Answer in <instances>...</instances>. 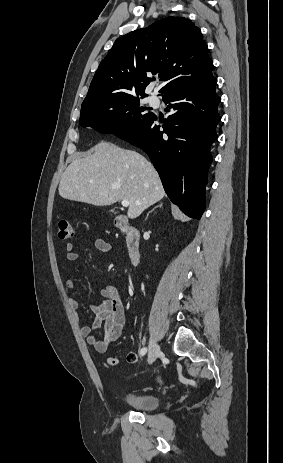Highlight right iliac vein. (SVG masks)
I'll return each mask as SVG.
<instances>
[{
	"label": "right iliac vein",
	"mask_w": 283,
	"mask_h": 463,
	"mask_svg": "<svg viewBox=\"0 0 283 463\" xmlns=\"http://www.w3.org/2000/svg\"><path fill=\"white\" fill-rule=\"evenodd\" d=\"M160 353V348L157 341L154 338H151L147 361L149 364H152Z\"/></svg>",
	"instance_id": "right-iliac-vein-1"
}]
</instances>
